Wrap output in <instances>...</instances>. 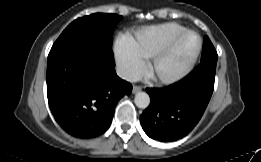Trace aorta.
Instances as JSON below:
<instances>
[{"label": "aorta", "mask_w": 261, "mask_h": 162, "mask_svg": "<svg viewBox=\"0 0 261 162\" xmlns=\"http://www.w3.org/2000/svg\"><path fill=\"white\" fill-rule=\"evenodd\" d=\"M134 102L136 104V106L138 108H142V109H145L149 106L150 104V97L147 93L145 92H138L136 95H135V99H134Z\"/></svg>", "instance_id": "aorta-1"}]
</instances>
